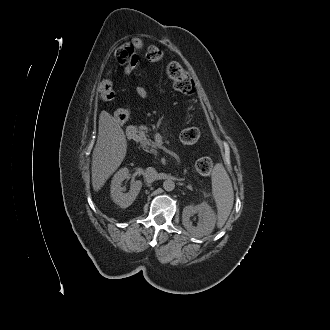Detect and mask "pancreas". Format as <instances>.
Returning a JSON list of instances; mask_svg holds the SVG:
<instances>
[{"label":"pancreas","instance_id":"cf45deb5","mask_svg":"<svg viewBox=\"0 0 330 330\" xmlns=\"http://www.w3.org/2000/svg\"><path fill=\"white\" fill-rule=\"evenodd\" d=\"M140 143L141 145L145 148V150L147 152L156 154L157 151L154 149L155 144L151 139L147 138V135L144 132H140V137H139ZM149 146L151 147V149L149 148Z\"/></svg>","mask_w":330,"mask_h":330}]
</instances>
